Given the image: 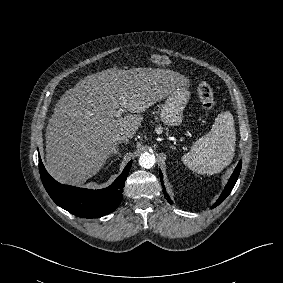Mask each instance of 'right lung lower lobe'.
<instances>
[{
	"instance_id": "right-lung-lower-lobe-1",
	"label": "right lung lower lobe",
	"mask_w": 283,
	"mask_h": 283,
	"mask_svg": "<svg viewBox=\"0 0 283 283\" xmlns=\"http://www.w3.org/2000/svg\"><path fill=\"white\" fill-rule=\"evenodd\" d=\"M130 168L131 162L109 187L90 190L58 183L47 173L39 157L41 180L50 197L58 206L83 218H99L113 212L119 206Z\"/></svg>"
}]
</instances>
